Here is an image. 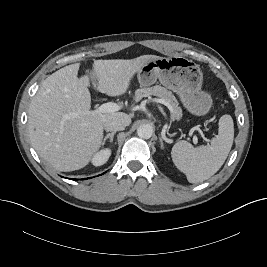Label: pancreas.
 <instances>
[{
	"label": "pancreas",
	"instance_id": "1",
	"mask_svg": "<svg viewBox=\"0 0 267 267\" xmlns=\"http://www.w3.org/2000/svg\"><path fill=\"white\" fill-rule=\"evenodd\" d=\"M156 96L162 99L171 108V118L179 121L182 117V109L180 108L177 99L166 88L155 85L150 88H140L135 91V101H140L144 97Z\"/></svg>",
	"mask_w": 267,
	"mask_h": 267
}]
</instances>
